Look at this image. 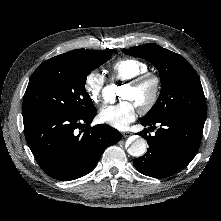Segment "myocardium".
<instances>
[{
    "label": "myocardium",
    "mask_w": 221,
    "mask_h": 221,
    "mask_svg": "<svg viewBox=\"0 0 221 221\" xmlns=\"http://www.w3.org/2000/svg\"><path fill=\"white\" fill-rule=\"evenodd\" d=\"M126 84L137 88L147 84L151 85L150 97L139 106V110L141 113L149 112L157 104L160 98L161 88H162L161 78L158 74L146 71L127 80Z\"/></svg>",
    "instance_id": "myocardium-1"
}]
</instances>
